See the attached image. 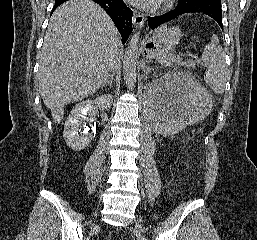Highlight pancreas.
Listing matches in <instances>:
<instances>
[{"label":"pancreas","instance_id":"1","mask_svg":"<svg viewBox=\"0 0 257 240\" xmlns=\"http://www.w3.org/2000/svg\"><path fill=\"white\" fill-rule=\"evenodd\" d=\"M169 56H175L174 54H171V55H169ZM168 57V56H167ZM172 63H177V62H175V61H171ZM177 64H182V65H184L185 67H195V65H194V63L192 62V61H185V62H180V63H177Z\"/></svg>","mask_w":257,"mask_h":240}]
</instances>
